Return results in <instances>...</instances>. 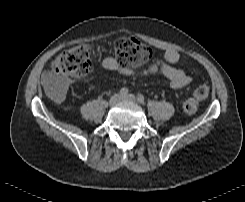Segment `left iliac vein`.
<instances>
[{"label":"left iliac vein","mask_w":245,"mask_h":202,"mask_svg":"<svg viewBox=\"0 0 245 202\" xmlns=\"http://www.w3.org/2000/svg\"><path fill=\"white\" fill-rule=\"evenodd\" d=\"M122 100L135 102L136 97L133 94H128V95L123 96Z\"/></svg>","instance_id":"1"}]
</instances>
